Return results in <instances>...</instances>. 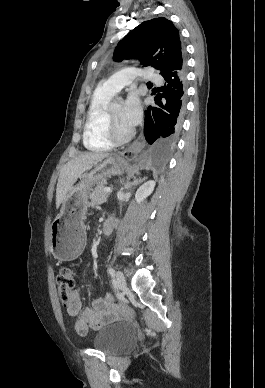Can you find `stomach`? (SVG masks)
<instances>
[{"label": "stomach", "mask_w": 265, "mask_h": 388, "mask_svg": "<svg viewBox=\"0 0 265 388\" xmlns=\"http://www.w3.org/2000/svg\"><path fill=\"white\" fill-rule=\"evenodd\" d=\"M127 165L124 158L110 155L80 176V182L68 192L51 225V251L55 258L71 261L81 254L85 244L83 219L91 204L89 193L92 187L111 175H121Z\"/></svg>", "instance_id": "stomach-1"}]
</instances>
